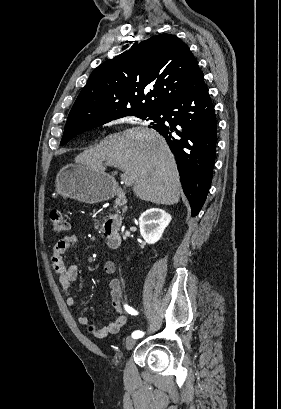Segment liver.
<instances>
[{"instance_id":"6515ba94","label":"liver","mask_w":281,"mask_h":409,"mask_svg":"<svg viewBox=\"0 0 281 409\" xmlns=\"http://www.w3.org/2000/svg\"><path fill=\"white\" fill-rule=\"evenodd\" d=\"M80 164H88L106 174L103 160L119 166L134 178L132 186L141 200L156 205H175L179 202L181 182L168 144L154 128L133 126L122 132L108 134L91 150H84L75 158ZM114 170L108 174L114 180Z\"/></svg>"}]
</instances>
